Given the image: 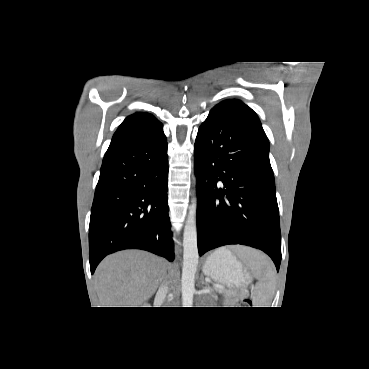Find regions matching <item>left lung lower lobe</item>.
<instances>
[{"label": "left lung lower lobe", "instance_id": "obj_1", "mask_svg": "<svg viewBox=\"0 0 369 369\" xmlns=\"http://www.w3.org/2000/svg\"><path fill=\"white\" fill-rule=\"evenodd\" d=\"M199 255L241 244L281 262V233L269 144L250 125L211 111L194 149Z\"/></svg>", "mask_w": 369, "mask_h": 369}]
</instances>
